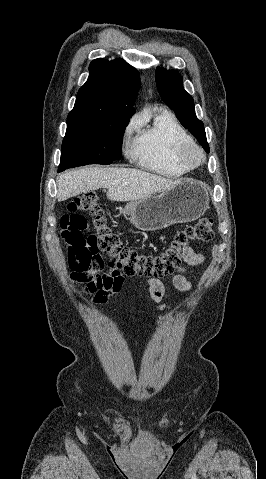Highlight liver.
<instances>
[{
  "label": "liver",
  "instance_id": "liver-1",
  "mask_svg": "<svg viewBox=\"0 0 266 479\" xmlns=\"http://www.w3.org/2000/svg\"><path fill=\"white\" fill-rule=\"evenodd\" d=\"M179 180L167 179L131 168L84 167L67 171L57 178V200L107 188V198L112 201H136L173 188Z\"/></svg>",
  "mask_w": 266,
  "mask_h": 479
}]
</instances>
